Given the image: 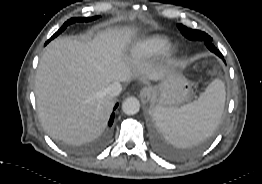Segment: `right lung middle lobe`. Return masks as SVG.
I'll use <instances>...</instances> for the list:
<instances>
[{"instance_id": "1", "label": "right lung middle lobe", "mask_w": 262, "mask_h": 184, "mask_svg": "<svg viewBox=\"0 0 262 184\" xmlns=\"http://www.w3.org/2000/svg\"><path fill=\"white\" fill-rule=\"evenodd\" d=\"M96 19L95 17H79V18H71L68 21H66L63 26L52 36L51 39H53L54 37H56L57 35H59L62 31L65 30V28L67 27V25L72 24L74 22H88V21H92ZM49 41H47L46 43H48Z\"/></svg>"}]
</instances>
